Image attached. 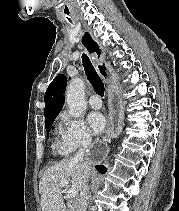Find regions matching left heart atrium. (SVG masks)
<instances>
[{
    "mask_svg": "<svg viewBox=\"0 0 179 211\" xmlns=\"http://www.w3.org/2000/svg\"><path fill=\"white\" fill-rule=\"evenodd\" d=\"M88 122L94 134L101 133L104 130L106 124L104 116L99 112L90 113L88 116Z\"/></svg>",
    "mask_w": 179,
    "mask_h": 211,
    "instance_id": "left-heart-atrium-1",
    "label": "left heart atrium"
}]
</instances>
